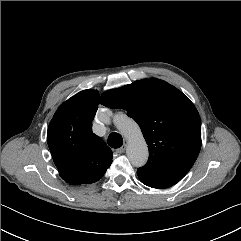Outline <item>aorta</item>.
I'll return each mask as SVG.
<instances>
[{
	"label": "aorta",
	"instance_id": "762f6f07",
	"mask_svg": "<svg viewBox=\"0 0 241 241\" xmlns=\"http://www.w3.org/2000/svg\"><path fill=\"white\" fill-rule=\"evenodd\" d=\"M117 129L127 139V156L135 167L143 166L148 160V147L138 124L125 115H118L113 120Z\"/></svg>",
	"mask_w": 241,
	"mask_h": 241
}]
</instances>
